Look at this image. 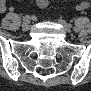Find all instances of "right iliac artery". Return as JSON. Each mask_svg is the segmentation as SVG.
Listing matches in <instances>:
<instances>
[{"label":"right iliac artery","mask_w":91,"mask_h":91,"mask_svg":"<svg viewBox=\"0 0 91 91\" xmlns=\"http://www.w3.org/2000/svg\"><path fill=\"white\" fill-rule=\"evenodd\" d=\"M23 20H30V17H29V16H25V17L23 18Z\"/></svg>","instance_id":"1"}]
</instances>
